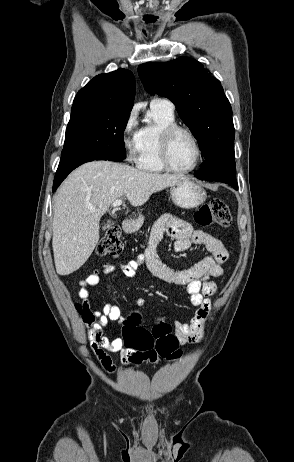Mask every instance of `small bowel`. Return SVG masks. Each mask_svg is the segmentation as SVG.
I'll use <instances>...</instances> for the list:
<instances>
[{"instance_id":"1","label":"small bowel","mask_w":294,"mask_h":462,"mask_svg":"<svg viewBox=\"0 0 294 462\" xmlns=\"http://www.w3.org/2000/svg\"><path fill=\"white\" fill-rule=\"evenodd\" d=\"M165 234L174 239L176 252H184L191 245H202L210 254L188 268H171L163 263L157 254V246ZM227 258V250L218 238L202 230H195L185 220L164 215L154 224L145 252L120 265L119 268L125 277L133 278L139 267L146 265L158 279L185 288L190 304L197 309L190 322L176 321L174 324L175 336L179 344L184 345L195 343L204 335L205 322L211 310V297L217 288L213 279L223 275L222 264ZM116 269L115 264L105 263L100 271L96 270L80 281L78 291V296L82 300V319L91 327L87 333L90 347L102 368L110 374L116 371V365L108 352L119 353L124 367L133 365L138 369L142 363L148 361L145 353L127 347L123 338H110L106 334L110 322L124 323L125 318L117 305L107 303L101 310H94L91 306V288L99 285L103 276ZM139 305L143 306L144 302L139 300Z\"/></svg>"}]
</instances>
